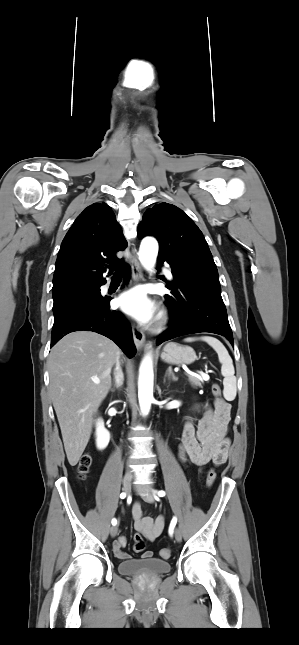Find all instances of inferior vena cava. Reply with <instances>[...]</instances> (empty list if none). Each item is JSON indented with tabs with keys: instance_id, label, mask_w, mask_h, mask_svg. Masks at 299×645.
Wrapping results in <instances>:
<instances>
[{
	"instance_id": "1",
	"label": "inferior vena cava",
	"mask_w": 299,
	"mask_h": 645,
	"mask_svg": "<svg viewBox=\"0 0 299 645\" xmlns=\"http://www.w3.org/2000/svg\"><path fill=\"white\" fill-rule=\"evenodd\" d=\"M115 381L116 385L120 386L122 385L123 382V373L120 368V363H119V357L117 358V363H116V369H115Z\"/></svg>"
}]
</instances>
